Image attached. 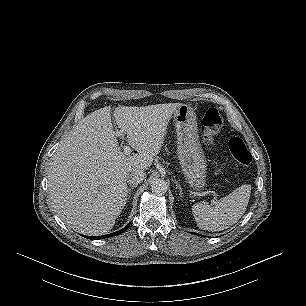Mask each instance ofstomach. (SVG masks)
I'll return each instance as SVG.
<instances>
[{
  "mask_svg": "<svg viewBox=\"0 0 306 306\" xmlns=\"http://www.w3.org/2000/svg\"><path fill=\"white\" fill-rule=\"evenodd\" d=\"M173 117L177 133V154L184 177L193 189L201 190L205 186L207 168L194 110L190 105L182 104Z\"/></svg>",
  "mask_w": 306,
  "mask_h": 306,
  "instance_id": "0dacf381",
  "label": "stomach"
}]
</instances>
